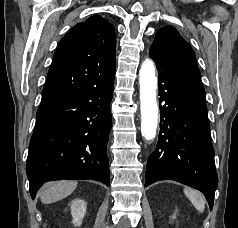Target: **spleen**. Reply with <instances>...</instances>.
I'll return each mask as SVG.
<instances>
[{"mask_svg": "<svg viewBox=\"0 0 238 228\" xmlns=\"http://www.w3.org/2000/svg\"><path fill=\"white\" fill-rule=\"evenodd\" d=\"M184 193L186 197L191 201L194 207L199 211L203 212L205 209V198L199 191L194 189L185 188Z\"/></svg>", "mask_w": 238, "mask_h": 228, "instance_id": "spleen-1", "label": "spleen"}]
</instances>
